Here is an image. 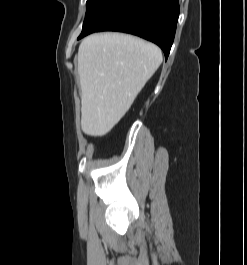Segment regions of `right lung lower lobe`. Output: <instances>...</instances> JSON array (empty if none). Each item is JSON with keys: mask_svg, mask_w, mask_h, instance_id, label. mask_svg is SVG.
<instances>
[{"mask_svg": "<svg viewBox=\"0 0 247 265\" xmlns=\"http://www.w3.org/2000/svg\"><path fill=\"white\" fill-rule=\"evenodd\" d=\"M178 16V0H100L78 39L98 31L126 32L156 43L167 59Z\"/></svg>", "mask_w": 247, "mask_h": 265, "instance_id": "obj_1", "label": "right lung lower lobe"}]
</instances>
